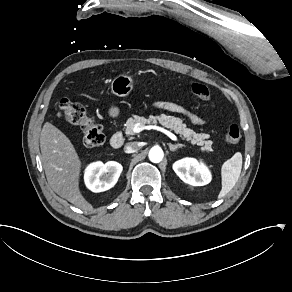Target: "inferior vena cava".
Wrapping results in <instances>:
<instances>
[{"mask_svg": "<svg viewBox=\"0 0 292 292\" xmlns=\"http://www.w3.org/2000/svg\"><path fill=\"white\" fill-rule=\"evenodd\" d=\"M124 150L126 153H134L139 150V145L137 142H129L125 145Z\"/></svg>", "mask_w": 292, "mask_h": 292, "instance_id": "inferior-vena-cava-1", "label": "inferior vena cava"}]
</instances>
